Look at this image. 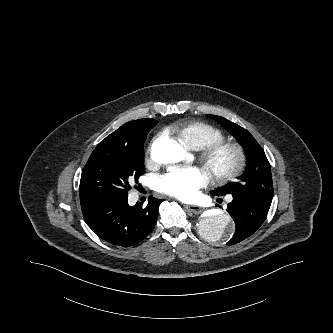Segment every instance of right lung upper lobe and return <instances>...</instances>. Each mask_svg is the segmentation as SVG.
<instances>
[{"label": "right lung upper lobe", "instance_id": "right-lung-upper-lobe-1", "mask_svg": "<svg viewBox=\"0 0 333 333\" xmlns=\"http://www.w3.org/2000/svg\"><path fill=\"white\" fill-rule=\"evenodd\" d=\"M141 136L142 122L140 120L130 121L101 141L92 153H95L103 148L113 150H132L140 143ZM84 203L89 202H81V204Z\"/></svg>", "mask_w": 333, "mask_h": 333}]
</instances>
